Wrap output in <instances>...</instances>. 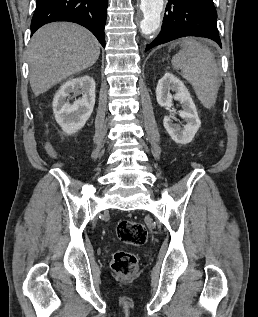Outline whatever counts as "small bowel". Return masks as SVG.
<instances>
[{"mask_svg":"<svg viewBox=\"0 0 258 317\" xmlns=\"http://www.w3.org/2000/svg\"><path fill=\"white\" fill-rule=\"evenodd\" d=\"M44 149L49 156H51V157L55 156V150L53 149V147L49 143H45Z\"/></svg>","mask_w":258,"mask_h":317,"instance_id":"small-bowel-1","label":"small bowel"}]
</instances>
